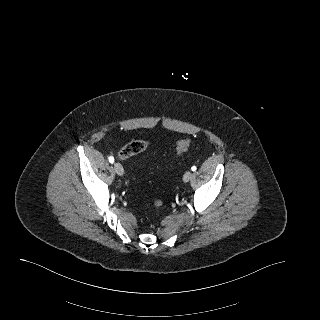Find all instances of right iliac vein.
<instances>
[{
	"label": "right iliac vein",
	"instance_id": "1",
	"mask_svg": "<svg viewBox=\"0 0 320 320\" xmlns=\"http://www.w3.org/2000/svg\"><path fill=\"white\" fill-rule=\"evenodd\" d=\"M114 169H115V172H116L119 176H123V175H124L123 166H122L119 162H116V163L114 164Z\"/></svg>",
	"mask_w": 320,
	"mask_h": 320
}]
</instances>
